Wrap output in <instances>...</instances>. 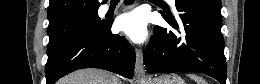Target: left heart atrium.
<instances>
[{"instance_id": "left-heart-atrium-1", "label": "left heart atrium", "mask_w": 260, "mask_h": 84, "mask_svg": "<svg viewBox=\"0 0 260 84\" xmlns=\"http://www.w3.org/2000/svg\"><path fill=\"white\" fill-rule=\"evenodd\" d=\"M116 27L135 43H143L147 38V19L141 11L135 10L120 15Z\"/></svg>"}]
</instances>
